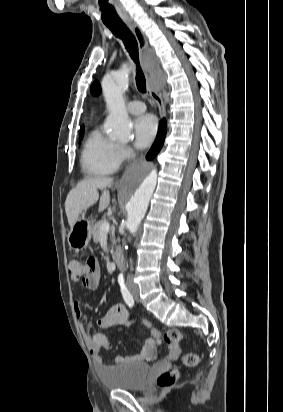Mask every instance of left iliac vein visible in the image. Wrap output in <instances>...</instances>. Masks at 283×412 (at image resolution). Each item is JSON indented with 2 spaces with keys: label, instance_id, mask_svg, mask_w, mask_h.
I'll use <instances>...</instances> for the list:
<instances>
[{
  "label": "left iliac vein",
  "instance_id": "obj_1",
  "mask_svg": "<svg viewBox=\"0 0 283 412\" xmlns=\"http://www.w3.org/2000/svg\"><path fill=\"white\" fill-rule=\"evenodd\" d=\"M135 299H136V300H138V297H137V295H135Z\"/></svg>",
  "mask_w": 283,
  "mask_h": 412
}]
</instances>
